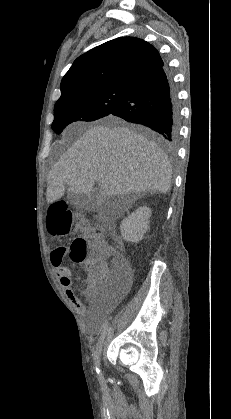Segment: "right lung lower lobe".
<instances>
[{
  "label": "right lung lower lobe",
  "mask_w": 231,
  "mask_h": 419,
  "mask_svg": "<svg viewBox=\"0 0 231 419\" xmlns=\"http://www.w3.org/2000/svg\"><path fill=\"white\" fill-rule=\"evenodd\" d=\"M110 115L146 125L169 144H174L178 137L179 104L173 80L164 64L135 82Z\"/></svg>",
  "instance_id": "right-lung-lower-lobe-1"
}]
</instances>
